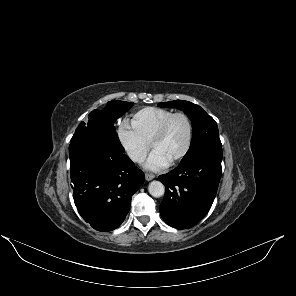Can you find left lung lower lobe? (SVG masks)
I'll use <instances>...</instances> for the list:
<instances>
[{"label":"left lung lower lobe","mask_w":296,"mask_h":296,"mask_svg":"<svg viewBox=\"0 0 296 296\" xmlns=\"http://www.w3.org/2000/svg\"><path fill=\"white\" fill-rule=\"evenodd\" d=\"M222 148L181 162L158 179L165 185L160 214L170 226L186 229L200 222L211 208L221 178Z\"/></svg>","instance_id":"obj_1"}]
</instances>
